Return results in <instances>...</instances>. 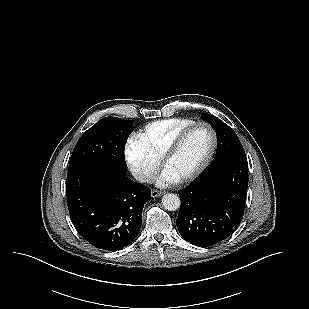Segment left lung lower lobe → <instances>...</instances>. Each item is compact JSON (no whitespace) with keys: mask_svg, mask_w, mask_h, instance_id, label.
<instances>
[{"mask_svg":"<svg viewBox=\"0 0 309 309\" xmlns=\"http://www.w3.org/2000/svg\"><path fill=\"white\" fill-rule=\"evenodd\" d=\"M248 187L245 152L232 153L211 164L186 188L176 219L182 237L199 247L215 245L240 224Z\"/></svg>","mask_w":309,"mask_h":309,"instance_id":"obj_1","label":"left lung lower lobe"}]
</instances>
